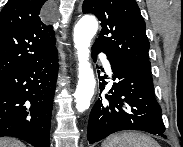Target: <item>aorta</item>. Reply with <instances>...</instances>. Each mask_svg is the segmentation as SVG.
Here are the masks:
<instances>
[{
  "label": "aorta",
  "instance_id": "obj_1",
  "mask_svg": "<svg viewBox=\"0 0 183 147\" xmlns=\"http://www.w3.org/2000/svg\"><path fill=\"white\" fill-rule=\"evenodd\" d=\"M98 30V21L93 16H83L74 28V44L78 57V84L75 91V103L78 112H84L94 95L96 80L89 62V47Z\"/></svg>",
  "mask_w": 183,
  "mask_h": 147
}]
</instances>
